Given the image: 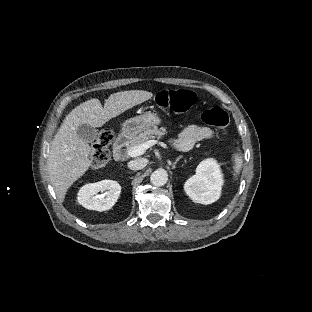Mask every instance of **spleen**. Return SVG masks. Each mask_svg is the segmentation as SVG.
Listing matches in <instances>:
<instances>
[{"mask_svg": "<svg viewBox=\"0 0 312 312\" xmlns=\"http://www.w3.org/2000/svg\"><path fill=\"white\" fill-rule=\"evenodd\" d=\"M234 162H235V165H234V171L236 173H239L241 168H242V164H243V160H242V157L240 154H234Z\"/></svg>", "mask_w": 312, "mask_h": 312, "instance_id": "obj_1", "label": "spleen"}]
</instances>
